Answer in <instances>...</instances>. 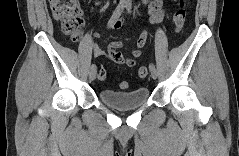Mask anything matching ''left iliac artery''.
I'll use <instances>...</instances> for the list:
<instances>
[{"mask_svg": "<svg viewBox=\"0 0 239 156\" xmlns=\"http://www.w3.org/2000/svg\"><path fill=\"white\" fill-rule=\"evenodd\" d=\"M126 8H127L128 13H131V3H127ZM153 68H155V65L153 63H150L149 69H153Z\"/></svg>", "mask_w": 239, "mask_h": 156, "instance_id": "44dca946", "label": "left iliac artery"}]
</instances>
